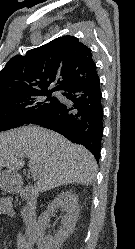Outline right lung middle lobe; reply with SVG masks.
Returning a JSON list of instances; mask_svg holds the SVG:
<instances>
[{
	"mask_svg": "<svg viewBox=\"0 0 135 249\" xmlns=\"http://www.w3.org/2000/svg\"><path fill=\"white\" fill-rule=\"evenodd\" d=\"M52 92L36 91L0 98V131L28 124L31 118L54 106L58 99L51 97Z\"/></svg>",
	"mask_w": 135,
	"mask_h": 249,
	"instance_id": "right-lung-middle-lobe-1",
	"label": "right lung middle lobe"
}]
</instances>
